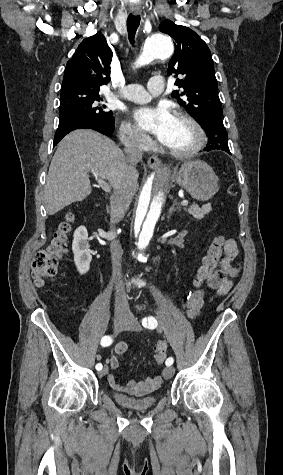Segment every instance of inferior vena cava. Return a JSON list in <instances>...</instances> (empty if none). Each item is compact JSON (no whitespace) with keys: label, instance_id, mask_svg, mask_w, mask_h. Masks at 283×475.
<instances>
[{"label":"inferior vena cava","instance_id":"obj_1","mask_svg":"<svg viewBox=\"0 0 283 475\" xmlns=\"http://www.w3.org/2000/svg\"><path fill=\"white\" fill-rule=\"evenodd\" d=\"M130 142L125 146L124 154L125 160L128 162L127 168H125V174H135L136 164L140 162L142 158L141 152V136L138 132H129ZM125 182V180H123ZM123 182H117L114 188V194H112L110 198V220L111 224H117L121 218H123L126 210H128L132 198L134 196L133 188L131 184H129L127 180V184H123ZM113 232V230H112ZM114 234V232H113ZM111 257L113 267L115 269V311H124V313H128L129 303L126 297L125 289H124V281L122 279L121 273V257H122V247L117 241V239H113L110 245Z\"/></svg>","mask_w":283,"mask_h":475}]
</instances>
